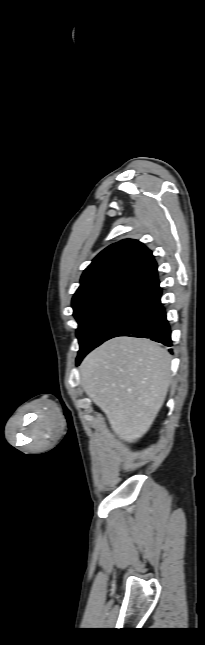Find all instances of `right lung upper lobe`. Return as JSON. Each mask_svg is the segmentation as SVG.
<instances>
[{
  "label": "right lung upper lobe",
  "instance_id": "right-lung-upper-lobe-1",
  "mask_svg": "<svg viewBox=\"0 0 205 645\" xmlns=\"http://www.w3.org/2000/svg\"><path fill=\"white\" fill-rule=\"evenodd\" d=\"M72 305L125 287L151 290L159 284L157 263L141 242L125 239L99 253L84 270Z\"/></svg>",
  "mask_w": 205,
  "mask_h": 645
}]
</instances>
